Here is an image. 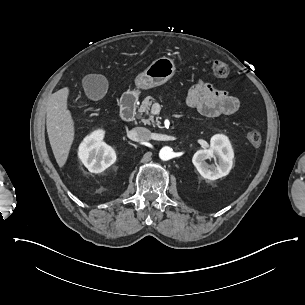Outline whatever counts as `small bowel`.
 <instances>
[{"label":"small bowel","mask_w":305,"mask_h":305,"mask_svg":"<svg viewBox=\"0 0 305 305\" xmlns=\"http://www.w3.org/2000/svg\"><path fill=\"white\" fill-rule=\"evenodd\" d=\"M187 105L206 117L233 114L239 109V101L227 91L198 80L189 90Z\"/></svg>","instance_id":"obj_1"}]
</instances>
